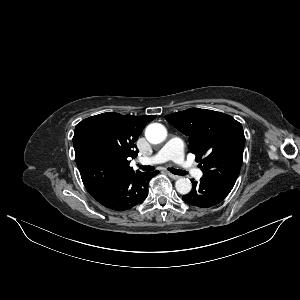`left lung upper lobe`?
Instances as JSON below:
<instances>
[{"label":"left lung upper lobe","instance_id":"obj_1","mask_svg":"<svg viewBox=\"0 0 300 300\" xmlns=\"http://www.w3.org/2000/svg\"><path fill=\"white\" fill-rule=\"evenodd\" d=\"M167 122L189 136V150L201 161L204 179L233 188L239 175L245 136L233 117L212 110L190 108L165 116Z\"/></svg>","mask_w":300,"mask_h":300}]
</instances>
